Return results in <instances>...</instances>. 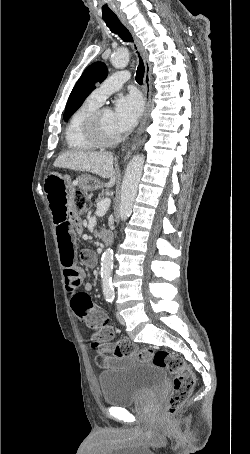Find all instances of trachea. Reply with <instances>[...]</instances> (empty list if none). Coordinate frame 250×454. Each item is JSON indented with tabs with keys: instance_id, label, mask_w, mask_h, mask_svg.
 I'll list each match as a JSON object with an SVG mask.
<instances>
[{
	"instance_id": "obj_1",
	"label": "trachea",
	"mask_w": 250,
	"mask_h": 454,
	"mask_svg": "<svg viewBox=\"0 0 250 454\" xmlns=\"http://www.w3.org/2000/svg\"><path fill=\"white\" fill-rule=\"evenodd\" d=\"M103 20L109 27L112 33L117 34L125 42H133V37L129 30L121 23L116 15L114 16H103ZM136 49V46H135ZM145 67L142 58L139 56V65L136 71V81L139 84L143 83Z\"/></svg>"
}]
</instances>
